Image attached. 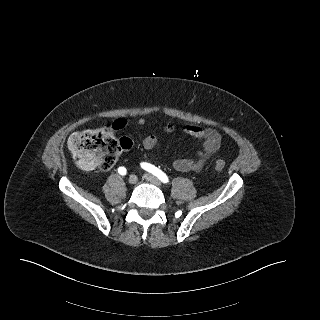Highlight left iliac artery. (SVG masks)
Wrapping results in <instances>:
<instances>
[{
  "label": "left iliac artery",
  "instance_id": "44dca946",
  "mask_svg": "<svg viewBox=\"0 0 320 320\" xmlns=\"http://www.w3.org/2000/svg\"><path fill=\"white\" fill-rule=\"evenodd\" d=\"M141 167L143 169H145L146 171L154 174L156 177H158L163 183H168L169 182V178L167 177V175L161 171L160 169H158L157 167H155L152 164L149 163H141Z\"/></svg>",
  "mask_w": 320,
  "mask_h": 320
}]
</instances>
